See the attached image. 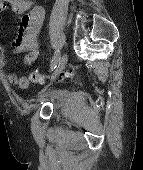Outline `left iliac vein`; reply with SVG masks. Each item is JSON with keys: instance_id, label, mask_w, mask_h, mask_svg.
Wrapping results in <instances>:
<instances>
[{"instance_id": "4c4485c4", "label": "left iliac vein", "mask_w": 143, "mask_h": 170, "mask_svg": "<svg viewBox=\"0 0 143 170\" xmlns=\"http://www.w3.org/2000/svg\"><path fill=\"white\" fill-rule=\"evenodd\" d=\"M68 60V55L65 53L62 55V57L59 60L58 67L55 71L54 78L57 77L65 68Z\"/></svg>"}]
</instances>
